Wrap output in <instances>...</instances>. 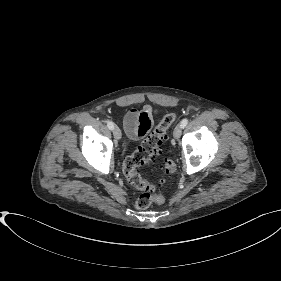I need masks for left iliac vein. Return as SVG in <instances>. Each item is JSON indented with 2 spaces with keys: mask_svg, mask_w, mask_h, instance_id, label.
<instances>
[{
  "mask_svg": "<svg viewBox=\"0 0 281 281\" xmlns=\"http://www.w3.org/2000/svg\"><path fill=\"white\" fill-rule=\"evenodd\" d=\"M182 134V126L181 124L177 125L173 131V136L175 139H179Z\"/></svg>",
  "mask_w": 281,
  "mask_h": 281,
  "instance_id": "obj_1",
  "label": "left iliac vein"
}]
</instances>
